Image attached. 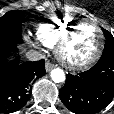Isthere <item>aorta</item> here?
<instances>
[{
  "label": "aorta",
  "instance_id": "aorta-1",
  "mask_svg": "<svg viewBox=\"0 0 114 114\" xmlns=\"http://www.w3.org/2000/svg\"><path fill=\"white\" fill-rule=\"evenodd\" d=\"M51 78L55 83H61L65 81V73L60 68H55L51 71Z\"/></svg>",
  "mask_w": 114,
  "mask_h": 114
}]
</instances>
